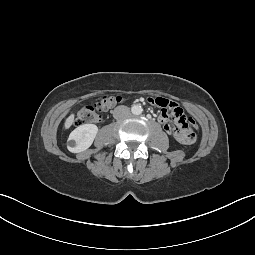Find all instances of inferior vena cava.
Returning <instances> with one entry per match:
<instances>
[{"instance_id": "obj_1", "label": "inferior vena cava", "mask_w": 255, "mask_h": 255, "mask_svg": "<svg viewBox=\"0 0 255 255\" xmlns=\"http://www.w3.org/2000/svg\"><path fill=\"white\" fill-rule=\"evenodd\" d=\"M130 114V109L127 106L120 105L113 110V117L115 119L122 118Z\"/></svg>"}]
</instances>
